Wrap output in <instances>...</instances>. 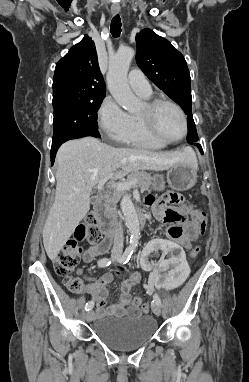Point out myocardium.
Masks as SVG:
<instances>
[{"instance_id": "myocardium-1", "label": "myocardium", "mask_w": 249, "mask_h": 382, "mask_svg": "<svg viewBox=\"0 0 249 382\" xmlns=\"http://www.w3.org/2000/svg\"><path fill=\"white\" fill-rule=\"evenodd\" d=\"M161 105H169L172 106L180 115L182 122H183V133L182 135L177 139H169L165 136H163L160 131L157 128L156 121H155V114L157 109ZM139 118L145 128V130L149 133L150 136H152L155 140L165 143V144H175L180 141H182L187 133H188V121L187 116L184 112V110L181 108L179 104L176 102L166 99V98H155L152 100H149L145 103V112L142 114H139Z\"/></svg>"}]
</instances>
